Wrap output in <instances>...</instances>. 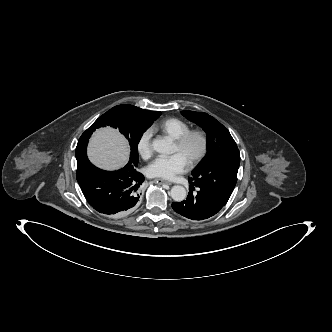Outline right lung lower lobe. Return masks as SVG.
Listing matches in <instances>:
<instances>
[{"label": "right lung lower lobe", "instance_id": "98d812e1", "mask_svg": "<svg viewBox=\"0 0 332 332\" xmlns=\"http://www.w3.org/2000/svg\"><path fill=\"white\" fill-rule=\"evenodd\" d=\"M76 177L88 203L102 214L124 216L133 212L140 203L141 193L137 190L144 176L136 170L129 171L124 167L105 171L86 159L82 166L77 167Z\"/></svg>", "mask_w": 332, "mask_h": 332}]
</instances>
